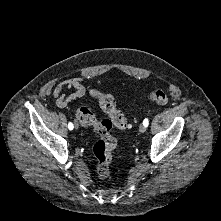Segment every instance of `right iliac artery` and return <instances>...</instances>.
<instances>
[{
    "instance_id": "1",
    "label": "right iliac artery",
    "mask_w": 221,
    "mask_h": 221,
    "mask_svg": "<svg viewBox=\"0 0 221 221\" xmlns=\"http://www.w3.org/2000/svg\"><path fill=\"white\" fill-rule=\"evenodd\" d=\"M73 124L70 122L69 124H68V128H69V130H72L73 129Z\"/></svg>"
}]
</instances>
